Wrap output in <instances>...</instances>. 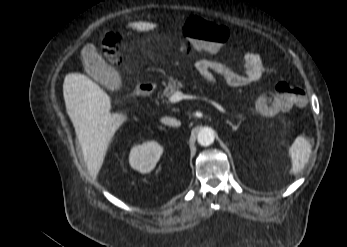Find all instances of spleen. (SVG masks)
Masks as SVG:
<instances>
[{"label":"spleen","instance_id":"1","mask_svg":"<svg viewBox=\"0 0 347 247\" xmlns=\"http://www.w3.org/2000/svg\"><path fill=\"white\" fill-rule=\"evenodd\" d=\"M311 154V145L304 137H297L289 149V155L292 160V169L297 173L304 167Z\"/></svg>","mask_w":347,"mask_h":247}]
</instances>
